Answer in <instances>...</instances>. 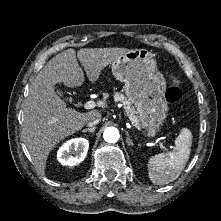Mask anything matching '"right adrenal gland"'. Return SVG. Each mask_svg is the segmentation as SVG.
I'll use <instances>...</instances> for the list:
<instances>
[{
    "label": "right adrenal gland",
    "instance_id": "obj_1",
    "mask_svg": "<svg viewBox=\"0 0 221 221\" xmlns=\"http://www.w3.org/2000/svg\"><path fill=\"white\" fill-rule=\"evenodd\" d=\"M96 127H92V128H87V129H83V132H91V133H94Z\"/></svg>",
    "mask_w": 221,
    "mask_h": 221
}]
</instances>
